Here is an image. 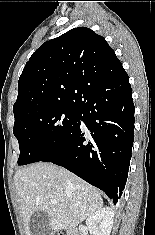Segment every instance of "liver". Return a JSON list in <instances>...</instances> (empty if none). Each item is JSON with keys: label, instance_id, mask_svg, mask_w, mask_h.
Listing matches in <instances>:
<instances>
[{"label": "liver", "instance_id": "liver-1", "mask_svg": "<svg viewBox=\"0 0 155 235\" xmlns=\"http://www.w3.org/2000/svg\"><path fill=\"white\" fill-rule=\"evenodd\" d=\"M14 183L26 235H32L30 220L36 210L47 213L50 229L68 230L103 207L97 189L51 163L17 170Z\"/></svg>", "mask_w": 155, "mask_h": 235}]
</instances>
